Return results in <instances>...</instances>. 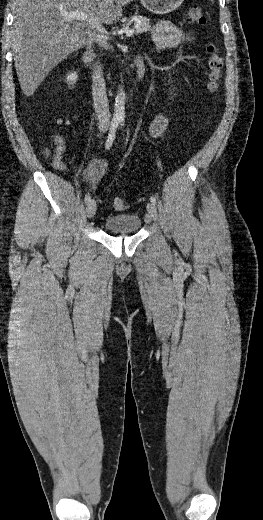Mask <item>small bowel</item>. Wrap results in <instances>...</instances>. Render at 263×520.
Segmentation results:
<instances>
[{
    "label": "small bowel",
    "instance_id": "small-bowel-1",
    "mask_svg": "<svg viewBox=\"0 0 263 520\" xmlns=\"http://www.w3.org/2000/svg\"><path fill=\"white\" fill-rule=\"evenodd\" d=\"M152 38L157 49L174 48L181 43L191 41V36L182 32L176 26L168 21L159 22L153 32ZM169 125V118L166 115L159 114L151 122L149 126L150 134L155 138H162ZM66 151L63 139L60 136L55 138V154L53 158V166L58 171H64L65 165L62 156ZM107 164L103 159H94L82 173V178L92 188L102 178L105 173Z\"/></svg>",
    "mask_w": 263,
    "mask_h": 520
}]
</instances>
